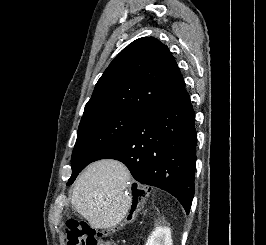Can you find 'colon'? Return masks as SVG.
<instances>
[{
    "mask_svg": "<svg viewBox=\"0 0 266 245\" xmlns=\"http://www.w3.org/2000/svg\"><path fill=\"white\" fill-rule=\"evenodd\" d=\"M67 245H116L111 240H103L105 233L96 232L92 226L85 221L81 223L70 219L65 226Z\"/></svg>",
    "mask_w": 266,
    "mask_h": 245,
    "instance_id": "colon-1",
    "label": "colon"
}]
</instances>
